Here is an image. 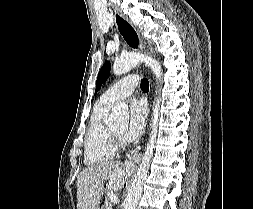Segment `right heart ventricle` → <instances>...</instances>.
<instances>
[{
  "mask_svg": "<svg viewBox=\"0 0 253 209\" xmlns=\"http://www.w3.org/2000/svg\"><path fill=\"white\" fill-rule=\"evenodd\" d=\"M110 106L101 99L94 106L84 141V161L87 165L108 161L117 154L109 126L104 122Z\"/></svg>",
  "mask_w": 253,
  "mask_h": 209,
  "instance_id": "obj_1",
  "label": "right heart ventricle"
}]
</instances>
